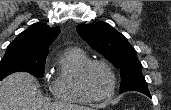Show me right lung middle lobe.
<instances>
[{
    "label": "right lung middle lobe",
    "mask_w": 171,
    "mask_h": 110,
    "mask_svg": "<svg viewBox=\"0 0 171 110\" xmlns=\"http://www.w3.org/2000/svg\"><path fill=\"white\" fill-rule=\"evenodd\" d=\"M47 55H31L15 48H7L0 62V80L18 71L29 72L36 77H43Z\"/></svg>",
    "instance_id": "1"
}]
</instances>
